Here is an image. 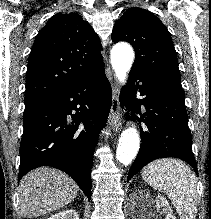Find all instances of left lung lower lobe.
<instances>
[{"instance_id": "1", "label": "left lung lower lobe", "mask_w": 211, "mask_h": 219, "mask_svg": "<svg viewBox=\"0 0 211 219\" xmlns=\"http://www.w3.org/2000/svg\"><path fill=\"white\" fill-rule=\"evenodd\" d=\"M137 94L143 98L137 99ZM184 99L180 76L131 69L120 104L142 115L134 117L140 123L142 143L127 182L149 162L166 157L186 161L198 174Z\"/></svg>"}]
</instances>
